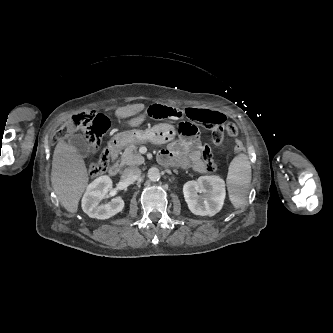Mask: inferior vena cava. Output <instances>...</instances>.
Instances as JSON below:
<instances>
[{
  "mask_svg": "<svg viewBox=\"0 0 333 333\" xmlns=\"http://www.w3.org/2000/svg\"><path fill=\"white\" fill-rule=\"evenodd\" d=\"M140 175H141V171L139 168L130 167V168H126L123 171L122 178L128 183H133L137 179H139Z\"/></svg>",
  "mask_w": 333,
  "mask_h": 333,
  "instance_id": "1",
  "label": "inferior vena cava"
}]
</instances>
